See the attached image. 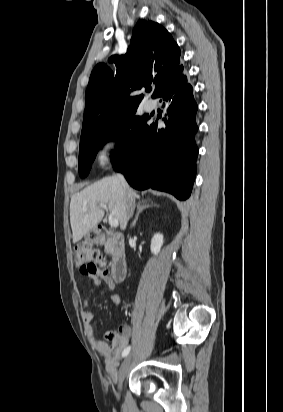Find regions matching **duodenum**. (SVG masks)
Wrapping results in <instances>:
<instances>
[{"mask_svg":"<svg viewBox=\"0 0 283 412\" xmlns=\"http://www.w3.org/2000/svg\"><path fill=\"white\" fill-rule=\"evenodd\" d=\"M95 241L97 245L109 247L112 256L111 275L117 282H123L127 276V261L122 235L104 226H99L95 234Z\"/></svg>","mask_w":283,"mask_h":412,"instance_id":"1","label":"duodenum"}]
</instances>
